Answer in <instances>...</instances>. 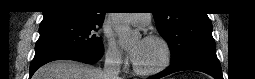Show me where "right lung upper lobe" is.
<instances>
[{"instance_id": "obj_1", "label": "right lung upper lobe", "mask_w": 255, "mask_h": 79, "mask_svg": "<svg viewBox=\"0 0 255 79\" xmlns=\"http://www.w3.org/2000/svg\"><path fill=\"white\" fill-rule=\"evenodd\" d=\"M98 0H51L43 12V21L69 19L92 23H103L105 12L100 10Z\"/></svg>"}]
</instances>
